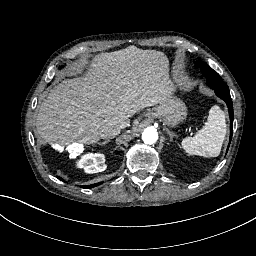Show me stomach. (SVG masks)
Listing matches in <instances>:
<instances>
[{"instance_id": "0dacf381", "label": "stomach", "mask_w": 256, "mask_h": 256, "mask_svg": "<svg viewBox=\"0 0 256 256\" xmlns=\"http://www.w3.org/2000/svg\"><path fill=\"white\" fill-rule=\"evenodd\" d=\"M148 117L160 120L166 127L174 128L186 119V106L181 100L170 97L157 107L150 109Z\"/></svg>"}]
</instances>
